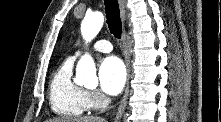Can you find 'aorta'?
Instances as JSON below:
<instances>
[{
  "label": "aorta",
  "instance_id": "762f6f07",
  "mask_svg": "<svg viewBox=\"0 0 221 122\" xmlns=\"http://www.w3.org/2000/svg\"><path fill=\"white\" fill-rule=\"evenodd\" d=\"M104 23V16L101 12H94L87 15L81 24V33L86 42L91 41L99 33ZM76 83L86 87L95 86L98 83L94 60L90 55L85 54L79 60L76 67Z\"/></svg>",
  "mask_w": 221,
  "mask_h": 122
}]
</instances>
